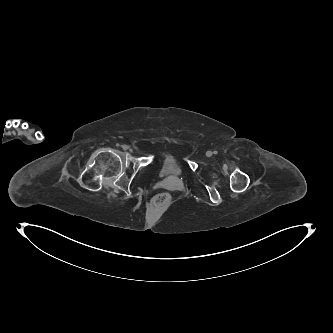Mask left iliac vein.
I'll list each match as a JSON object with an SVG mask.
<instances>
[{"instance_id":"1","label":"left iliac vein","mask_w":333,"mask_h":333,"mask_svg":"<svg viewBox=\"0 0 333 333\" xmlns=\"http://www.w3.org/2000/svg\"><path fill=\"white\" fill-rule=\"evenodd\" d=\"M211 154H212L211 152H207V153H206V155H207L208 157L211 156Z\"/></svg>"}]
</instances>
